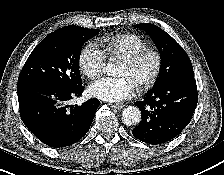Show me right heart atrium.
<instances>
[{
	"instance_id": "1",
	"label": "right heart atrium",
	"mask_w": 224,
	"mask_h": 175,
	"mask_svg": "<svg viewBox=\"0 0 224 175\" xmlns=\"http://www.w3.org/2000/svg\"><path fill=\"white\" fill-rule=\"evenodd\" d=\"M105 62V52L94 43L87 44L80 52L79 66L89 79H95L102 73Z\"/></svg>"
}]
</instances>
